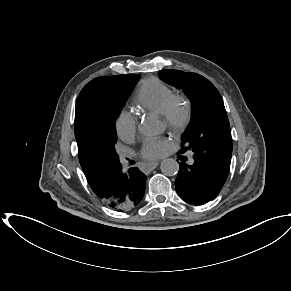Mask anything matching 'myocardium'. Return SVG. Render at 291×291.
I'll list each match as a JSON object with an SVG mask.
<instances>
[{
	"label": "myocardium",
	"instance_id": "obj_1",
	"mask_svg": "<svg viewBox=\"0 0 291 291\" xmlns=\"http://www.w3.org/2000/svg\"><path fill=\"white\" fill-rule=\"evenodd\" d=\"M161 117L165 126L174 134L184 133L193 117L190 100L183 94H175Z\"/></svg>",
	"mask_w": 291,
	"mask_h": 291
}]
</instances>
